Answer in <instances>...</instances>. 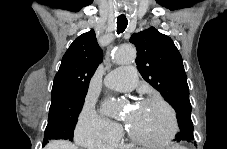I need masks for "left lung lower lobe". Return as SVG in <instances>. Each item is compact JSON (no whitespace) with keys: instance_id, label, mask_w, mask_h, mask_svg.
<instances>
[{"instance_id":"0a47b994","label":"left lung lower lobe","mask_w":227,"mask_h":149,"mask_svg":"<svg viewBox=\"0 0 227 149\" xmlns=\"http://www.w3.org/2000/svg\"><path fill=\"white\" fill-rule=\"evenodd\" d=\"M182 142L193 143L194 145H196V142H194V141H182Z\"/></svg>"}]
</instances>
